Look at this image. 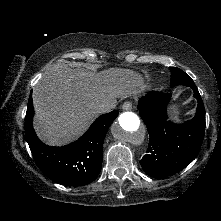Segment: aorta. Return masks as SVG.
Segmentation results:
<instances>
[{"mask_svg": "<svg viewBox=\"0 0 221 221\" xmlns=\"http://www.w3.org/2000/svg\"><path fill=\"white\" fill-rule=\"evenodd\" d=\"M111 133L115 138L132 145H140L145 139V130L139 117L130 111L119 115L111 126Z\"/></svg>", "mask_w": 221, "mask_h": 221, "instance_id": "aorta-1", "label": "aorta"}]
</instances>
